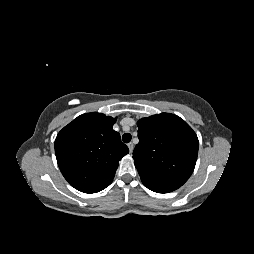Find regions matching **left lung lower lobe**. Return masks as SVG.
<instances>
[{"label":"left lung lower lobe","instance_id":"0a47b994","mask_svg":"<svg viewBox=\"0 0 254 254\" xmlns=\"http://www.w3.org/2000/svg\"><path fill=\"white\" fill-rule=\"evenodd\" d=\"M143 184L150 190L157 193H168L178 189L180 186L141 178Z\"/></svg>","mask_w":254,"mask_h":254}]
</instances>
